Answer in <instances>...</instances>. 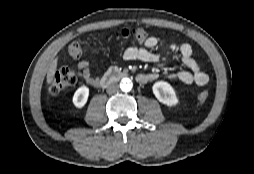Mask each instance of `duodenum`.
<instances>
[{
  "label": "duodenum",
  "instance_id": "1",
  "mask_svg": "<svg viewBox=\"0 0 254 174\" xmlns=\"http://www.w3.org/2000/svg\"><path fill=\"white\" fill-rule=\"evenodd\" d=\"M127 74L118 68L110 69L101 79L100 85L106 87L113 82L125 78Z\"/></svg>",
  "mask_w": 254,
  "mask_h": 174
}]
</instances>
